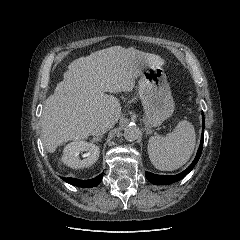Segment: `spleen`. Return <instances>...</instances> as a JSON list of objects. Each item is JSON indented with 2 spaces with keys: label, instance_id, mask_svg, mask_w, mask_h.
I'll return each mask as SVG.
<instances>
[{
  "label": "spleen",
  "instance_id": "1",
  "mask_svg": "<svg viewBox=\"0 0 240 240\" xmlns=\"http://www.w3.org/2000/svg\"><path fill=\"white\" fill-rule=\"evenodd\" d=\"M196 142L193 125L180 121L166 136L154 135L148 141V154L159 170L172 171L183 166L191 157Z\"/></svg>",
  "mask_w": 240,
  "mask_h": 240
}]
</instances>
